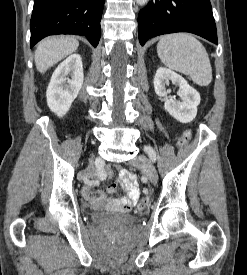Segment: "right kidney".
I'll return each instance as SVG.
<instances>
[{
	"instance_id": "right-kidney-1",
	"label": "right kidney",
	"mask_w": 247,
	"mask_h": 275,
	"mask_svg": "<svg viewBox=\"0 0 247 275\" xmlns=\"http://www.w3.org/2000/svg\"><path fill=\"white\" fill-rule=\"evenodd\" d=\"M83 80L81 56L72 54L58 65L51 77L46 92L47 105L50 110L57 116L63 117L77 97Z\"/></svg>"
}]
</instances>
